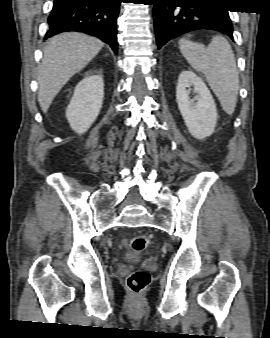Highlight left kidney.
<instances>
[{"mask_svg": "<svg viewBox=\"0 0 270 338\" xmlns=\"http://www.w3.org/2000/svg\"><path fill=\"white\" fill-rule=\"evenodd\" d=\"M190 87L196 93L190 99ZM189 88V90H187ZM176 100L183 120L197 139H204L214 132L218 114L214 99L204 81L192 71H183L178 77Z\"/></svg>", "mask_w": 270, "mask_h": 338, "instance_id": "left-kidney-1", "label": "left kidney"}]
</instances>
